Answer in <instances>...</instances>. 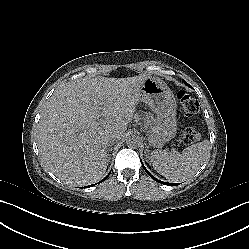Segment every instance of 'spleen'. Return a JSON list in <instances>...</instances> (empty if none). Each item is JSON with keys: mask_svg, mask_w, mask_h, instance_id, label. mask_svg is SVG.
Here are the masks:
<instances>
[{"mask_svg": "<svg viewBox=\"0 0 249 249\" xmlns=\"http://www.w3.org/2000/svg\"><path fill=\"white\" fill-rule=\"evenodd\" d=\"M209 151V142L204 140L188 146L181 153L153 151L151 162L154 169L166 179L180 181L207 161Z\"/></svg>", "mask_w": 249, "mask_h": 249, "instance_id": "spleen-1", "label": "spleen"}]
</instances>
